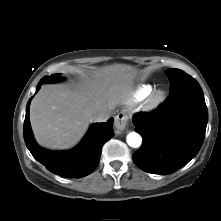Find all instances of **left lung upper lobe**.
<instances>
[{
    "instance_id": "left-lung-upper-lobe-1",
    "label": "left lung upper lobe",
    "mask_w": 221,
    "mask_h": 221,
    "mask_svg": "<svg viewBox=\"0 0 221 221\" xmlns=\"http://www.w3.org/2000/svg\"><path fill=\"white\" fill-rule=\"evenodd\" d=\"M166 75L169 78L171 84L170 92L174 91L182 85L197 82L194 78L180 69H168L166 71Z\"/></svg>"
}]
</instances>
